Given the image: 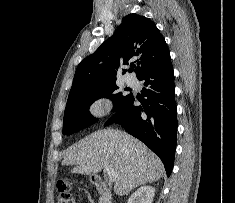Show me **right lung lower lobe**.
Here are the masks:
<instances>
[{
  "label": "right lung lower lobe",
  "mask_w": 235,
  "mask_h": 203,
  "mask_svg": "<svg viewBox=\"0 0 235 203\" xmlns=\"http://www.w3.org/2000/svg\"><path fill=\"white\" fill-rule=\"evenodd\" d=\"M139 80L147 88V99L136 106L133 94L121 104L104 126L120 124L129 134L141 140L162 160L167 176L173 169L176 149L177 111L174 73L171 59L146 71Z\"/></svg>",
  "instance_id": "1"
}]
</instances>
